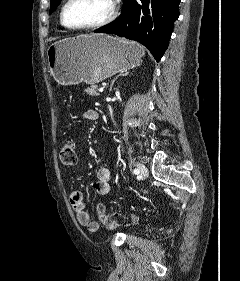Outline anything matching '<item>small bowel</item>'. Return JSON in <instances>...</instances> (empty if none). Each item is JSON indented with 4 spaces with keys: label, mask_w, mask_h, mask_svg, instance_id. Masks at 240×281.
<instances>
[{
    "label": "small bowel",
    "mask_w": 240,
    "mask_h": 281,
    "mask_svg": "<svg viewBox=\"0 0 240 281\" xmlns=\"http://www.w3.org/2000/svg\"><path fill=\"white\" fill-rule=\"evenodd\" d=\"M84 118L88 121H94L98 118L97 111L89 109L84 112ZM113 174L108 167H102L97 173L95 190L99 195H107L111 191L110 182ZM70 205L76 215L79 224L86 226L90 232H96L99 225L96 221L91 220L90 213L85 209L83 194L79 190H74L69 195Z\"/></svg>",
    "instance_id": "obj_1"
}]
</instances>
